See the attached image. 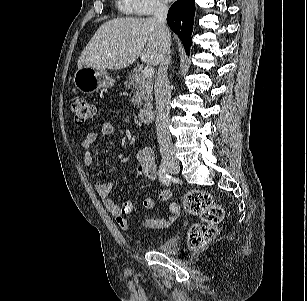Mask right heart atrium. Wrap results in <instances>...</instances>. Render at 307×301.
<instances>
[{"label":"right heart atrium","instance_id":"obj_1","mask_svg":"<svg viewBox=\"0 0 307 301\" xmlns=\"http://www.w3.org/2000/svg\"><path fill=\"white\" fill-rule=\"evenodd\" d=\"M131 13L146 16L167 9V0H122Z\"/></svg>","mask_w":307,"mask_h":301}]
</instances>
